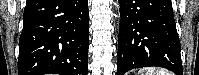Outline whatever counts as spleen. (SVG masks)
I'll return each mask as SVG.
<instances>
[{"label":"spleen","mask_w":199,"mask_h":75,"mask_svg":"<svg viewBox=\"0 0 199 75\" xmlns=\"http://www.w3.org/2000/svg\"><path fill=\"white\" fill-rule=\"evenodd\" d=\"M138 75H172V73L165 69L145 68L139 70Z\"/></svg>","instance_id":"1"}]
</instances>
